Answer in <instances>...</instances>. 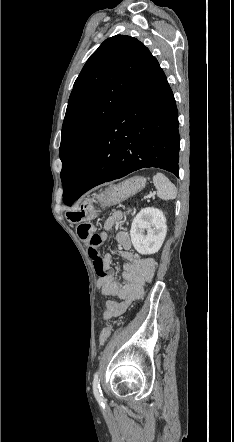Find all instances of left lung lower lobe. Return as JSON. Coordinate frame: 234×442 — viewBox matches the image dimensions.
Instances as JSON below:
<instances>
[{
  "mask_svg": "<svg viewBox=\"0 0 234 442\" xmlns=\"http://www.w3.org/2000/svg\"><path fill=\"white\" fill-rule=\"evenodd\" d=\"M178 111L172 90L152 57L99 135L71 206L89 189L144 167L178 176Z\"/></svg>",
  "mask_w": 234,
  "mask_h": 442,
  "instance_id": "left-lung-lower-lobe-1",
  "label": "left lung lower lobe"
}]
</instances>
